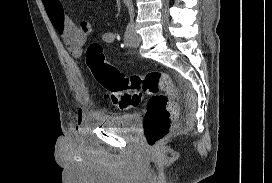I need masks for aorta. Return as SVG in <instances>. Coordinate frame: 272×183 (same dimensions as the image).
Listing matches in <instances>:
<instances>
[{
	"mask_svg": "<svg viewBox=\"0 0 272 183\" xmlns=\"http://www.w3.org/2000/svg\"><path fill=\"white\" fill-rule=\"evenodd\" d=\"M129 1L130 0H124V3H125V5L128 7L129 6Z\"/></svg>",
	"mask_w": 272,
	"mask_h": 183,
	"instance_id": "obj_1",
	"label": "aorta"
}]
</instances>
